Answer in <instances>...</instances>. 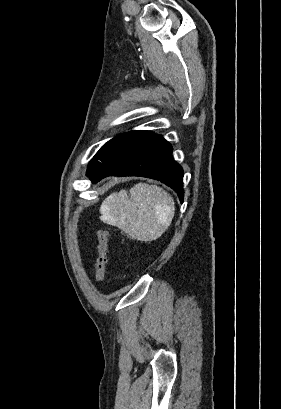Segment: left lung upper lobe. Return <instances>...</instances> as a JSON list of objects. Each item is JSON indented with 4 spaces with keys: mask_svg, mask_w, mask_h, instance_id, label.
<instances>
[{
    "mask_svg": "<svg viewBox=\"0 0 281 409\" xmlns=\"http://www.w3.org/2000/svg\"><path fill=\"white\" fill-rule=\"evenodd\" d=\"M152 134L153 133L150 131H131L111 139L101 147V149L90 161L87 168V176H92L112 158L141 142Z\"/></svg>",
    "mask_w": 281,
    "mask_h": 409,
    "instance_id": "obj_1",
    "label": "left lung upper lobe"
}]
</instances>
